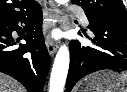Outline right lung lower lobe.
I'll return each instance as SVG.
<instances>
[{
    "instance_id": "1",
    "label": "right lung lower lobe",
    "mask_w": 127,
    "mask_h": 92,
    "mask_svg": "<svg viewBox=\"0 0 127 92\" xmlns=\"http://www.w3.org/2000/svg\"><path fill=\"white\" fill-rule=\"evenodd\" d=\"M24 23L20 27L18 23ZM42 10L33 11L0 24V72L17 79L29 92H42L50 61L42 35ZM17 31L26 44L15 47L11 33Z\"/></svg>"
}]
</instances>
